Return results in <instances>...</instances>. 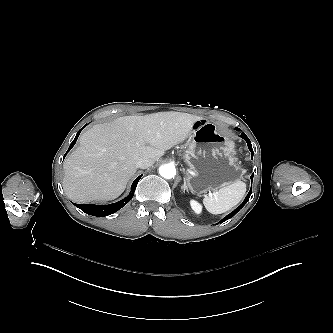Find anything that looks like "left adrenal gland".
I'll return each mask as SVG.
<instances>
[{
	"label": "left adrenal gland",
	"instance_id": "obj_1",
	"mask_svg": "<svg viewBox=\"0 0 333 333\" xmlns=\"http://www.w3.org/2000/svg\"><path fill=\"white\" fill-rule=\"evenodd\" d=\"M183 183H184V187L182 188V191L183 192H188V190H187V185H186V179L184 178V180H183Z\"/></svg>",
	"mask_w": 333,
	"mask_h": 333
}]
</instances>
